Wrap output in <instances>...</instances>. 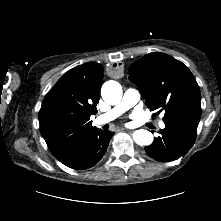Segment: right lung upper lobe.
I'll return each mask as SVG.
<instances>
[{
	"label": "right lung upper lobe",
	"instance_id": "right-lung-upper-lobe-1",
	"mask_svg": "<svg viewBox=\"0 0 221 221\" xmlns=\"http://www.w3.org/2000/svg\"><path fill=\"white\" fill-rule=\"evenodd\" d=\"M102 79L101 64L89 62L66 72L46 94L39 111V124L55 157L96 129L90 116L97 113Z\"/></svg>",
	"mask_w": 221,
	"mask_h": 221
}]
</instances>
